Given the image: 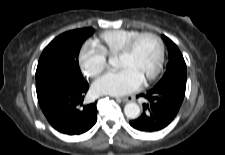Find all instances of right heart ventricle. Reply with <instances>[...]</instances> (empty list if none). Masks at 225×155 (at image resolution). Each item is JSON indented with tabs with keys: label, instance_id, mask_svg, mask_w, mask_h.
<instances>
[{
	"label": "right heart ventricle",
	"instance_id": "obj_1",
	"mask_svg": "<svg viewBox=\"0 0 225 155\" xmlns=\"http://www.w3.org/2000/svg\"><path fill=\"white\" fill-rule=\"evenodd\" d=\"M140 32L132 29H116L101 33L92 41L93 46L106 57L117 55L124 45Z\"/></svg>",
	"mask_w": 225,
	"mask_h": 155
}]
</instances>
